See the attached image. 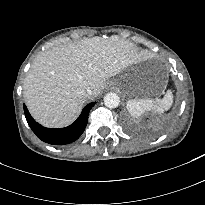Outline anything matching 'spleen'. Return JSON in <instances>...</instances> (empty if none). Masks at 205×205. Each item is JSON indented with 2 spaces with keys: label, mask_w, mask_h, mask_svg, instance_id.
Here are the masks:
<instances>
[{
  "label": "spleen",
  "mask_w": 205,
  "mask_h": 205,
  "mask_svg": "<svg viewBox=\"0 0 205 205\" xmlns=\"http://www.w3.org/2000/svg\"><path fill=\"white\" fill-rule=\"evenodd\" d=\"M173 102L171 90H168L162 99H131L127 101V109L133 117H139L146 111L170 108Z\"/></svg>",
  "instance_id": "spleen-1"
}]
</instances>
